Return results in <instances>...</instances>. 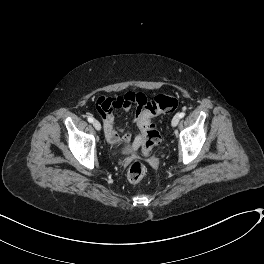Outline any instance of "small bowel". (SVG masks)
Returning a JSON list of instances; mask_svg holds the SVG:
<instances>
[{
	"instance_id": "obj_1",
	"label": "small bowel",
	"mask_w": 264,
	"mask_h": 264,
	"mask_svg": "<svg viewBox=\"0 0 264 264\" xmlns=\"http://www.w3.org/2000/svg\"><path fill=\"white\" fill-rule=\"evenodd\" d=\"M145 96L141 93L128 92L122 97H99L95 101V107L99 113L107 143L110 148L118 149L125 147L131 141V131L127 128L119 127L116 124L113 114L114 110L128 111L132 105L135 106V113L132 118V123L139 126L144 114ZM122 134V137H120ZM142 144V134L138 133L133 141L134 149Z\"/></svg>"
}]
</instances>
